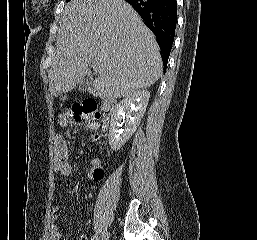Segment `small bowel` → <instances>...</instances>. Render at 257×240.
Segmentation results:
<instances>
[{"label":"small bowel","mask_w":257,"mask_h":240,"mask_svg":"<svg viewBox=\"0 0 257 240\" xmlns=\"http://www.w3.org/2000/svg\"><path fill=\"white\" fill-rule=\"evenodd\" d=\"M99 168H101L99 160L93 159L90 162L88 178L99 181L103 177V173L101 175H98L97 173ZM54 171L60 176H69L72 171V167L69 162L68 143L62 135H56L54 138ZM58 211L59 207L57 205H53L51 208L49 240H62V234L57 225ZM79 240H87V238L81 234L79 235Z\"/></svg>","instance_id":"1"}]
</instances>
